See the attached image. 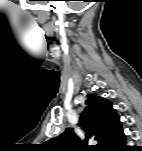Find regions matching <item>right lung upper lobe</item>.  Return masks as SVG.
Returning a JSON list of instances; mask_svg holds the SVG:
<instances>
[{"label": "right lung upper lobe", "mask_w": 142, "mask_h": 151, "mask_svg": "<svg viewBox=\"0 0 142 151\" xmlns=\"http://www.w3.org/2000/svg\"><path fill=\"white\" fill-rule=\"evenodd\" d=\"M79 126L86 132L83 145L73 130L68 128L59 136L47 141L45 143L46 149L56 151L92 149L113 151L125 141L122 122L119 120L117 111L113 109L112 103L96 95H87L86 108L81 113ZM91 137L98 140L97 148L87 145L88 138Z\"/></svg>", "instance_id": "1"}]
</instances>
